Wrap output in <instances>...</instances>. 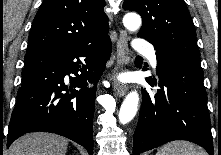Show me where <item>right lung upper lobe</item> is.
Segmentation results:
<instances>
[{
    "instance_id": "obj_1",
    "label": "right lung upper lobe",
    "mask_w": 221,
    "mask_h": 155,
    "mask_svg": "<svg viewBox=\"0 0 221 155\" xmlns=\"http://www.w3.org/2000/svg\"><path fill=\"white\" fill-rule=\"evenodd\" d=\"M104 0H44L29 34L27 50L81 46L107 34Z\"/></svg>"
}]
</instances>
